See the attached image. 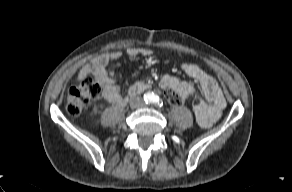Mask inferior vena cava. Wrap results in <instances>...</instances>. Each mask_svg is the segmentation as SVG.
<instances>
[{"label":"inferior vena cava","instance_id":"1","mask_svg":"<svg viewBox=\"0 0 292 192\" xmlns=\"http://www.w3.org/2000/svg\"><path fill=\"white\" fill-rule=\"evenodd\" d=\"M143 105H144V101L139 96L134 97L130 100V106L132 108H139V107H142Z\"/></svg>","mask_w":292,"mask_h":192}]
</instances>
